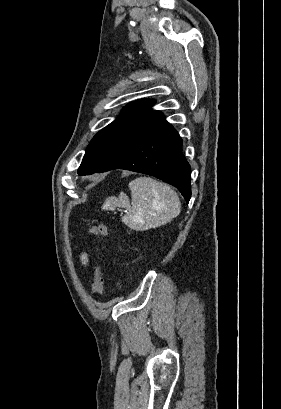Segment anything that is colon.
Returning <instances> with one entry per match:
<instances>
[{
    "mask_svg": "<svg viewBox=\"0 0 281 409\" xmlns=\"http://www.w3.org/2000/svg\"><path fill=\"white\" fill-rule=\"evenodd\" d=\"M88 229L98 238L100 243H103L108 233L107 226L105 224L96 222L90 225ZM104 285H105L104 272L102 266L99 264L96 268V275L94 281V294L97 298L103 297Z\"/></svg>",
    "mask_w": 281,
    "mask_h": 409,
    "instance_id": "obj_1",
    "label": "colon"
}]
</instances>
